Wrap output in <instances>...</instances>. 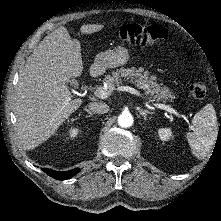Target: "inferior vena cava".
<instances>
[{
    "label": "inferior vena cava",
    "instance_id": "inferior-vena-cava-1",
    "mask_svg": "<svg viewBox=\"0 0 221 221\" xmlns=\"http://www.w3.org/2000/svg\"><path fill=\"white\" fill-rule=\"evenodd\" d=\"M88 107H89V110L97 114H104L109 111V106L101 102L89 103Z\"/></svg>",
    "mask_w": 221,
    "mask_h": 221
}]
</instances>
